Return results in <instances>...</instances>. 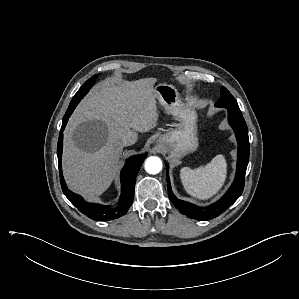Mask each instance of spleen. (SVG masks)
I'll list each match as a JSON object with an SVG mask.
<instances>
[{
  "label": "spleen",
  "mask_w": 299,
  "mask_h": 299,
  "mask_svg": "<svg viewBox=\"0 0 299 299\" xmlns=\"http://www.w3.org/2000/svg\"><path fill=\"white\" fill-rule=\"evenodd\" d=\"M227 163L223 155L215 156L205 166L191 169L183 167L180 170L182 184L188 194L198 199L206 200L218 193L225 183Z\"/></svg>",
  "instance_id": "1"
}]
</instances>
